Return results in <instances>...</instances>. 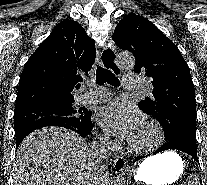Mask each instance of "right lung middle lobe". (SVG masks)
Here are the masks:
<instances>
[{
	"mask_svg": "<svg viewBox=\"0 0 207 185\" xmlns=\"http://www.w3.org/2000/svg\"><path fill=\"white\" fill-rule=\"evenodd\" d=\"M91 111L76 109L72 104H42L14 112L15 135L39 127L58 124L78 126L89 121Z\"/></svg>",
	"mask_w": 207,
	"mask_h": 185,
	"instance_id": "obj_1",
	"label": "right lung middle lobe"
}]
</instances>
